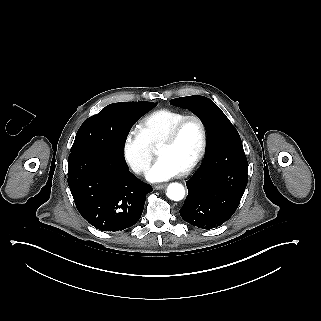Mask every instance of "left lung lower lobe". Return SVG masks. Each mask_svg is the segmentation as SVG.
Wrapping results in <instances>:
<instances>
[{"label":"left lung lower lobe","instance_id":"obj_1","mask_svg":"<svg viewBox=\"0 0 321 321\" xmlns=\"http://www.w3.org/2000/svg\"><path fill=\"white\" fill-rule=\"evenodd\" d=\"M248 162L240 137L220 141L186 182L188 196L180 209L189 224L212 229L236 211L248 182Z\"/></svg>","mask_w":321,"mask_h":321}]
</instances>
